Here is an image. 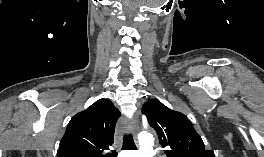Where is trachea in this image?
Returning <instances> with one entry per match:
<instances>
[{"instance_id":"1","label":"trachea","mask_w":264,"mask_h":157,"mask_svg":"<svg viewBox=\"0 0 264 157\" xmlns=\"http://www.w3.org/2000/svg\"><path fill=\"white\" fill-rule=\"evenodd\" d=\"M122 150H136L132 134L124 135ZM116 157V153L113 154Z\"/></svg>"}]
</instances>
